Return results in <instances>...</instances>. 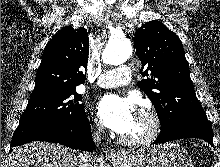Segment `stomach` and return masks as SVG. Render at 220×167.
I'll return each instance as SVG.
<instances>
[{
  "label": "stomach",
  "instance_id": "1",
  "mask_svg": "<svg viewBox=\"0 0 220 167\" xmlns=\"http://www.w3.org/2000/svg\"><path fill=\"white\" fill-rule=\"evenodd\" d=\"M112 163L115 167H193L186 150L173 143L144 147Z\"/></svg>",
  "mask_w": 220,
  "mask_h": 167
}]
</instances>
